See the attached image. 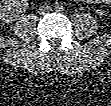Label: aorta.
I'll return each instance as SVG.
<instances>
[{
    "instance_id": "obj_1",
    "label": "aorta",
    "mask_w": 111,
    "mask_h": 106,
    "mask_svg": "<svg viewBox=\"0 0 111 106\" xmlns=\"http://www.w3.org/2000/svg\"><path fill=\"white\" fill-rule=\"evenodd\" d=\"M56 8H57L58 10H59V9H61V7H60V6H57Z\"/></svg>"
}]
</instances>
